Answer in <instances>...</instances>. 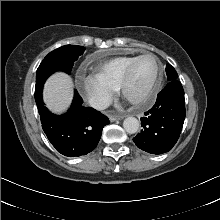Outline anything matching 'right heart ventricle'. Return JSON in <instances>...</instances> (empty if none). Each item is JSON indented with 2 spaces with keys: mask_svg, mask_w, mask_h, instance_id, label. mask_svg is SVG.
<instances>
[{
  "mask_svg": "<svg viewBox=\"0 0 220 220\" xmlns=\"http://www.w3.org/2000/svg\"><path fill=\"white\" fill-rule=\"evenodd\" d=\"M136 55H126L111 58L94 66L96 75L114 88H119L123 74Z\"/></svg>",
  "mask_w": 220,
  "mask_h": 220,
  "instance_id": "right-heart-ventricle-1",
  "label": "right heart ventricle"
}]
</instances>
